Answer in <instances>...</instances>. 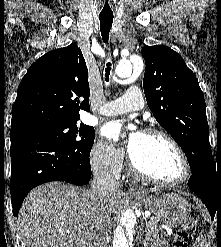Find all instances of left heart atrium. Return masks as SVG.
<instances>
[{
  "instance_id": "obj_1",
  "label": "left heart atrium",
  "mask_w": 221,
  "mask_h": 247,
  "mask_svg": "<svg viewBox=\"0 0 221 247\" xmlns=\"http://www.w3.org/2000/svg\"><path fill=\"white\" fill-rule=\"evenodd\" d=\"M123 130L122 123L120 121H112L107 123L102 128V136L106 139L117 142L119 140V136ZM128 146L130 147V140L128 141Z\"/></svg>"
}]
</instances>
